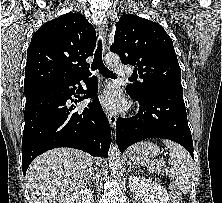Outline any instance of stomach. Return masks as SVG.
<instances>
[{
    "instance_id": "obj_1",
    "label": "stomach",
    "mask_w": 222,
    "mask_h": 203,
    "mask_svg": "<svg viewBox=\"0 0 222 203\" xmlns=\"http://www.w3.org/2000/svg\"><path fill=\"white\" fill-rule=\"evenodd\" d=\"M159 153L160 149L157 145L149 141H143L131 146L128 157L134 161H142L150 157H156Z\"/></svg>"
}]
</instances>
